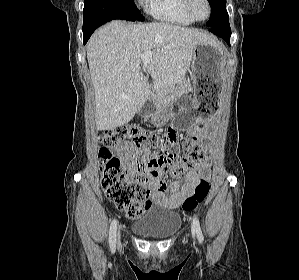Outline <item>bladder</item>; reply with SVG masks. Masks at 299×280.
Listing matches in <instances>:
<instances>
[{
	"label": "bladder",
	"mask_w": 299,
	"mask_h": 280,
	"mask_svg": "<svg viewBox=\"0 0 299 280\" xmlns=\"http://www.w3.org/2000/svg\"><path fill=\"white\" fill-rule=\"evenodd\" d=\"M181 225L177 212L155 210L146 218L135 223L132 230L137 235L148 239H166L174 235Z\"/></svg>",
	"instance_id": "bladder-1"
}]
</instances>
